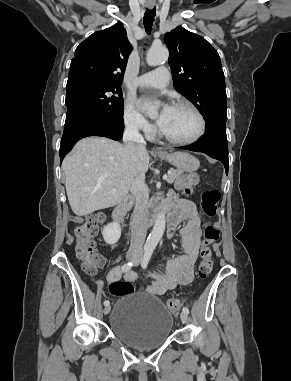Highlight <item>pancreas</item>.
I'll use <instances>...</instances> for the list:
<instances>
[{"label":"pancreas","instance_id":"pancreas-1","mask_svg":"<svg viewBox=\"0 0 291 381\" xmlns=\"http://www.w3.org/2000/svg\"><path fill=\"white\" fill-rule=\"evenodd\" d=\"M182 172L180 170H170V172L168 173V178H167V182L168 183H173L174 180L176 179V177L181 174Z\"/></svg>","mask_w":291,"mask_h":381}]
</instances>
